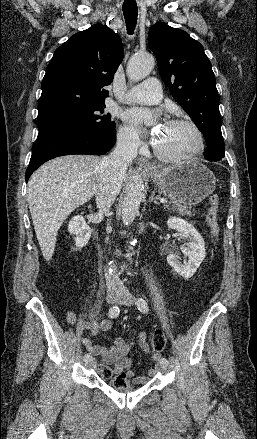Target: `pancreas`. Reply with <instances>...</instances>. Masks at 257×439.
<instances>
[{
	"label": "pancreas",
	"instance_id": "cf45deb5",
	"mask_svg": "<svg viewBox=\"0 0 257 439\" xmlns=\"http://www.w3.org/2000/svg\"><path fill=\"white\" fill-rule=\"evenodd\" d=\"M165 208L171 209L177 213H179L182 216H192V212L190 211V207H187L185 205H182L175 201H170L167 205H165Z\"/></svg>",
	"mask_w": 257,
	"mask_h": 439
}]
</instances>
